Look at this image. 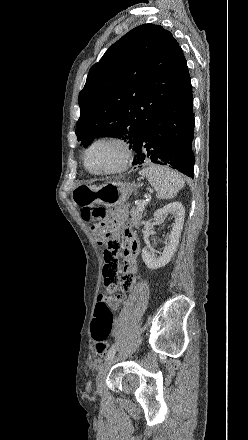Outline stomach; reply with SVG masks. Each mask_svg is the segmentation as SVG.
I'll list each match as a JSON object with an SVG mask.
<instances>
[{
	"label": "stomach",
	"instance_id": "stomach-1",
	"mask_svg": "<svg viewBox=\"0 0 248 440\" xmlns=\"http://www.w3.org/2000/svg\"><path fill=\"white\" fill-rule=\"evenodd\" d=\"M140 185L134 183L111 182L100 187L78 185L71 194L72 202L76 206H93L103 204L113 207L124 203Z\"/></svg>",
	"mask_w": 248,
	"mask_h": 440
}]
</instances>
